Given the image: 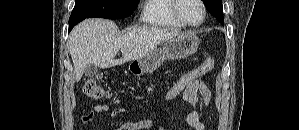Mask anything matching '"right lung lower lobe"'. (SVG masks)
Segmentation results:
<instances>
[{
	"label": "right lung lower lobe",
	"instance_id": "1",
	"mask_svg": "<svg viewBox=\"0 0 299 130\" xmlns=\"http://www.w3.org/2000/svg\"><path fill=\"white\" fill-rule=\"evenodd\" d=\"M80 21H82L81 18H75V17L71 16L70 19H69V32Z\"/></svg>",
	"mask_w": 299,
	"mask_h": 130
}]
</instances>
